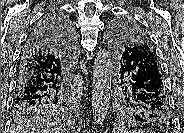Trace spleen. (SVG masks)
Wrapping results in <instances>:
<instances>
[{"mask_svg": "<svg viewBox=\"0 0 184 133\" xmlns=\"http://www.w3.org/2000/svg\"><path fill=\"white\" fill-rule=\"evenodd\" d=\"M133 133H143V131H141V130H135V131H133Z\"/></svg>", "mask_w": 184, "mask_h": 133, "instance_id": "spleen-1", "label": "spleen"}]
</instances>
